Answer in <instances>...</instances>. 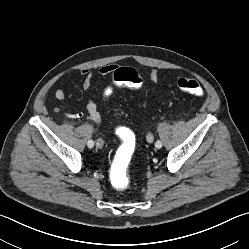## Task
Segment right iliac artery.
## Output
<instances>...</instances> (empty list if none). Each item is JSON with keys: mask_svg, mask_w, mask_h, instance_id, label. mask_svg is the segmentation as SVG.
I'll return each mask as SVG.
<instances>
[{"mask_svg": "<svg viewBox=\"0 0 249 249\" xmlns=\"http://www.w3.org/2000/svg\"><path fill=\"white\" fill-rule=\"evenodd\" d=\"M87 145H88L89 148H92L94 146L93 140H89Z\"/></svg>", "mask_w": 249, "mask_h": 249, "instance_id": "82829eb1", "label": "right iliac artery"}]
</instances>
